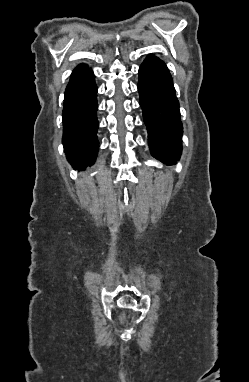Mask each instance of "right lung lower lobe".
Segmentation results:
<instances>
[{"label":"right lung lower lobe","instance_id":"98d812e1","mask_svg":"<svg viewBox=\"0 0 249 382\" xmlns=\"http://www.w3.org/2000/svg\"><path fill=\"white\" fill-rule=\"evenodd\" d=\"M97 105L93 71L80 64L70 76L63 108L62 143L74 169L84 170L95 162L99 148Z\"/></svg>","mask_w":249,"mask_h":382}]
</instances>
